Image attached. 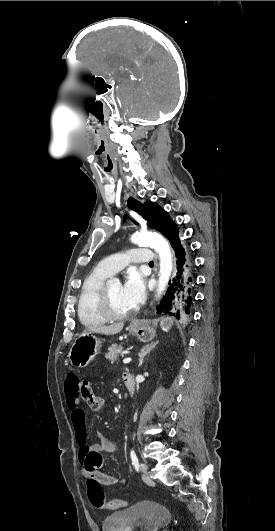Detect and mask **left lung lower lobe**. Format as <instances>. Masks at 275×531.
I'll return each instance as SVG.
<instances>
[{"mask_svg":"<svg viewBox=\"0 0 275 531\" xmlns=\"http://www.w3.org/2000/svg\"><path fill=\"white\" fill-rule=\"evenodd\" d=\"M165 237L174 250L176 276L172 282L169 281V287L157 306V312L185 319L190 314L193 299V258L175 223L168 229Z\"/></svg>","mask_w":275,"mask_h":531,"instance_id":"0a47b994","label":"left lung lower lobe"}]
</instances>
